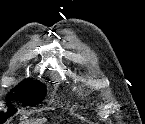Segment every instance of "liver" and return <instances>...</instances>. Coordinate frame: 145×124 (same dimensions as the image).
Instances as JSON below:
<instances>
[{"mask_svg": "<svg viewBox=\"0 0 145 124\" xmlns=\"http://www.w3.org/2000/svg\"><path fill=\"white\" fill-rule=\"evenodd\" d=\"M43 122H45V120H36L33 121L32 123H29V121H27L26 124H42Z\"/></svg>", "mask_w": 145, "mask_h": 124, "instance_id": "1", "label": "liver"}]
</instances>
